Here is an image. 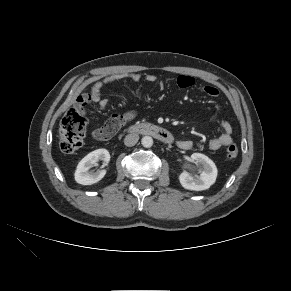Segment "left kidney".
<instances>
[{
    "label": "left kidney",
    "instance_id": "5707ae66",
    "mask_svg": "<svg viewBox=\"0 0 291 291\" xmlns=\"http://www.w3.org/2000/svg\"><path fill=\"white\" fill-rule=\"evenodd\" d=\"M189 161L196 164L200 174L193 175V167L188 166L190 172L184 170L179 176V181L185 189L202 191L215 183L218 171L209 157L201 153H193Z\"/></svg>",
    "mask_w": 291,
    "mask_h": 291
}]
</instances>
